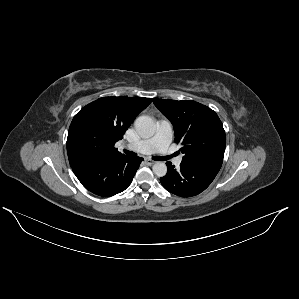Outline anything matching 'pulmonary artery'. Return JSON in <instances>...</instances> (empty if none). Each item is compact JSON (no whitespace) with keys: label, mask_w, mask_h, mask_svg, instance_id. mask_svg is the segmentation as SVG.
I'll use <instances>...</instances> for the list:
<instances>
[{"label":"pulmonary artery","mask_w":299,"mask_h":299,"mask_svg":"<svg viewBox=\"0 0 299 299\" xmlns=\"http://www.w3.org/2000/svg\"><path fill=\"white\" fill-rule=\"evenodd\" d=\"M171 137L172 125L168 120L162 119L158 122L157 132L153 137L149 139L140 140L136 143L128 145L127 147L130 150H133L137 153H158L163 156H167L169 154V145L171 142ZM173 162L175 165L179 166L182 162V158L175 157Z\"/></svg>","instance_id":"obj_1"}]
</instances>
